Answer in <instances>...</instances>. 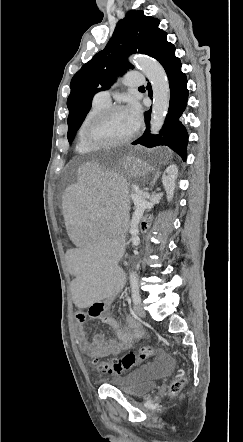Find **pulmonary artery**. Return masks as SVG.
<instances>
[{"instance_id": "pulmonary-artery-1", "label": "pulmonary artery", "mask_w": 243, "mask_h": 442, "mask_svg": "<svg viewBox=\"0 0 243 442\" xmlns=\"http://www.w3.org/2000/svg\"><path fill=\"white\" fill-rule=\"evenodd\" d=\"M124 84L129 87L141 86L143 84V80L141 79V74L127 73L124 79ZM110 94H111L110 90H103L98 92L95 95L94 99L105 104H110L111 102Z\"/></svg>"}]
</instances>
